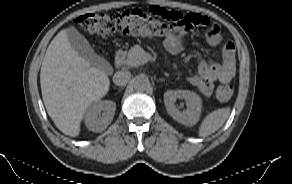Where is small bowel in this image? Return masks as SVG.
<instances>
[{
	"instance_id": "c3829d8e",
	"label": "small bowel",
	"mask_w": 292,
	"mask_h": 184,
	"mask_svg": "<svg viewBox=\"0 0 292 184\" xmlns=\"http://www.w3.org/2000/svg\"><path fill=\"white\" fill-rule=\"evenodd\" d=\"M193 26H200L205 29V38L210 45H217L221 42L220 28L216 23L202 14H188ZM188 29L171 32L164 40L165 49L172 55H179L184 49V35ZM236 72V54L233 43H226L222 51V62L216 63L199 59L197 73L188 77V81L195 86L204 96H210L215 83L228 84Z\"/></svg>"
}]
</instances>
